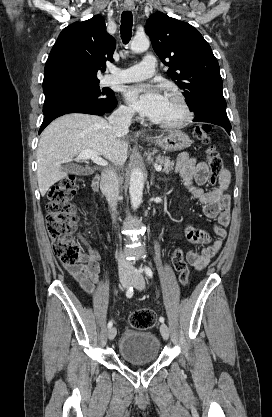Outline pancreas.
Here are the masks:
<instances>
[{
    "mask_svg": "<svg viewBox=\"0 0 272 417\" xmlns=\"http://www.w3.org/2000/svg\"><path fill=\"white\" fill-rule=\"evenodd\" d=\"M155 161L163 166V172L170 173L173 170L174 161H171L170 157L158 155L155 157Z\"/></svg>",
    "mask_w": 272,
    "mask_h": 417,
    "instance_id": "1",
    "label": "pancreas"
}]
</instances>
